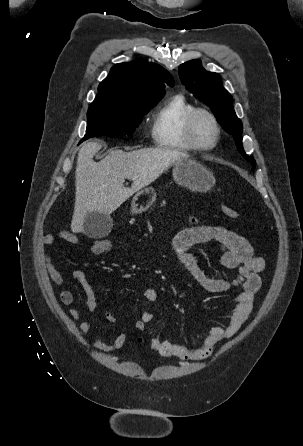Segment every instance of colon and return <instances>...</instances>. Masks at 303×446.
Segmentation results:
<instances>
[{"label": "colon", "instance_id": "5ec220e1", "mask_svg": "<svg viewBox=\"0 0 303 446\" xmlns=\"http://www.w3.org/2000/svg\"><path fill=\"white\" fill-rule=\"evenodd\" d=\"M221 210L224 215H226L227 217H229L231 219H235L238 217L237 211L232 207L223 205L221 207ZM110 248H111V241H109L107 239H102V243L100 246V254H98V255L105 254L106 252H108L110 250Z\"/></svg>", "mask_w": 303, "mask_h": 446}]
</instances>
